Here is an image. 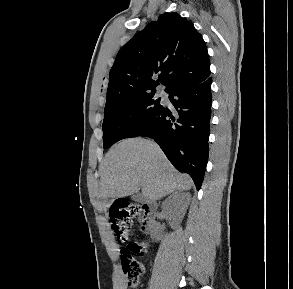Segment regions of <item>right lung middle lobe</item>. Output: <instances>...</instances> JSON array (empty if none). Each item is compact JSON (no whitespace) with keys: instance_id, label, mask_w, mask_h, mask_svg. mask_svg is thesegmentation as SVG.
<instances>
[{"instance_id":"1","label":"right lung middle lobe","mask_w":293,"mask_h":289,"mask_svg":"<svg viewBox=\"0 0 293 289\" xmlns=\"http://www.w3.org/2000/svg\"><path fill=\"white\" fill-rule=\"evenodd\" d=\"M162 107L155 92L120 98L106 104L103 121L104 148L129 138L145 120Z\"/></svg>"}]
</instances>
